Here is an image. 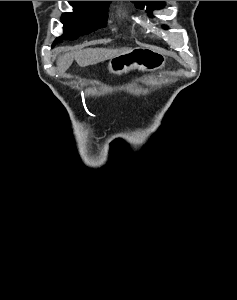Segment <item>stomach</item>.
<instances>
[{"label":"stomach","mask_w":237,"mask_h":300,"mask_svg":"<svg viewBox=\"0 0 237 300\" xmlns=\"http://www.w3.org/2000/svg\"><path fill=\"white\" fill-rule=\"evenodd\" d=\"M166 63V57L154 47H136L128 53L117 55L107 63V71L112 75H122L128 73L131 69H140V71H157L162 69Z\"/></svg>","instance_id":"1"}]
</instances>
